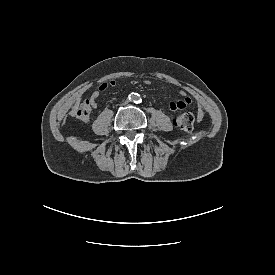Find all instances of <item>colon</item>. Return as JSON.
<instances>
[{"label":"colon","instance_id":"colon-1","mask_svg":"<svg viewBox=\"0 0 275 275\" xmlns=\"http://www.w3.org/2000/svg\"><path fill=\"white\" fill-rule=\"evenodd\" d=\"M115 81H110L108 85L114 86ZM90 99L86 96L83 102L74 110L73 116L79 120H86L91 114ZM175 126L183 131L190 132L193 130L195 125V117L192 113H183L174 118Z\"/></svg>","mask_w":275,"mask_h":275}]
</instances>
